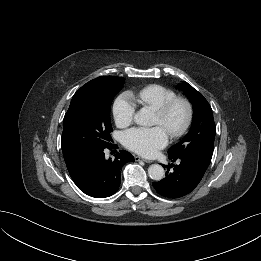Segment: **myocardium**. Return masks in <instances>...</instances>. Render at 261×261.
<instances>
[{
    "label": "myocardium",
    "mask_w": 261,
    "mask_h": 261,
    "mask_svg": "<svg viewBox=\"0 0 261 261\" xmlns=\"http://www.w3.org/2000/svg\"><path fill=\"white\" fill-rule=\"evenodd\" d=\"M178 106H181L183 108L184 117L179 126L169 130L168 133L172 138H177V137L182 136L189 128V126L192 122V118H193L192 104L190 103V101L188 99H186L184 97L176 96L173 99H171L170 101H168L167 103H165L162 107L155 110L158 117L163 122H166L168 120V118L170 117L171 113L173 112V110Z\"/></svg>",
    "instance_id": "1"
}]
</instances>
